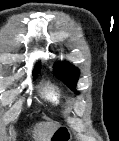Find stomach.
I'll return each mask as SVG.
<instances>
[{"label":"stomach","instance_id":"obj_1","mask_svg":"<svg viewBox=\"0 0 119 141\" xmlns=\"http://www.w3.org/2000/svg\"><path fill=\"white\" fill-rule=\"evenodd\" d=\"M72 134L65 126H59L51 135L49 141H71Z\"/></svg>","mask_w":119,"mask_h":141}]
</instances>
